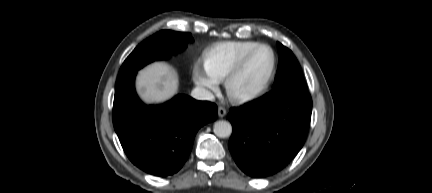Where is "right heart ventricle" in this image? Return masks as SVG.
Returning a JSON list of instances; mask_svg holds the SVG:
<instances>
[{
    "instance_id": "obj_1",
    "label": "right heart ventricle",
    "mask_w": 432,
    "mask_h": 193,
    "mask_svg": "<svg viewBox=\"0 0 432 193\" xmlns=\"http://www.w3.org/2000/svg\"><path fill=\"white\" fill-rule=\"evenodd\" d=\"M258 44L260 43L252 40L215 44L204 54L205 68L218 82L223 81L234 65Z\"/></svg>"
}]
</instances>
